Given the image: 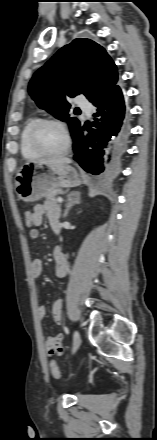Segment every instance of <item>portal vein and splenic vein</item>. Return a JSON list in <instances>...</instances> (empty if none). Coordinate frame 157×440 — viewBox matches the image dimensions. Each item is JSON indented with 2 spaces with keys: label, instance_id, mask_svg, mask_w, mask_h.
Masks as SVG:
<instances>
[{
  "label": "portal vein and splenic vein",
  "instance_id": "obj_1",
  "mask_svg": "<svg viewBox=\"0 0 157 440\" xmlns=\"http://www.w3.org/2000/svg\"><path fill=\"white\" fill-rule=\"evenodd\" d=\"M57 201H58L59 203H62V202H63V199H62L61 197H58V198H57Z\"/></svg>",
  "mask_w": 157,
  "mask_h": 440
}]
</instances>
